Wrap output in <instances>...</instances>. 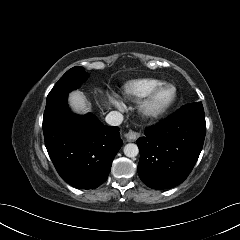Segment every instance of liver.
<instances>
[{"mask_svg":"<svg viewBox=\"0 0 240 240\" xmlns=\"http://www.w3.org/2000/svg\"><path fill=\"white\" fill-rule=\"evenodd\" d=\"M69 101L72 109L78 113H87L90 111V106L84 95L78 91L70 93Z\"/></svg>","mask_w":240,"mask_h":240,"instance_id":"obj_1","label":"liver"}]
</instances>
